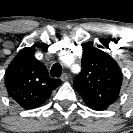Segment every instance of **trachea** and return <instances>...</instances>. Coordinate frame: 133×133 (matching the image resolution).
<instances>
[{
	"instance_id": "1",
	"label": "trachea",
	"mask_w": 133,
	"mask_h": 133,
	"mask_svg": "<svg viewBox=\"0 0 133 133\" xmlns=\"http://www.w3.org/2000/svg\"><path fill=\"white\" fill-rule=\"evenodd\" d=\"M51 76L60 77L62 74V67L59 63H55L51 68Z\"/></svg>"
}]
</instances>
